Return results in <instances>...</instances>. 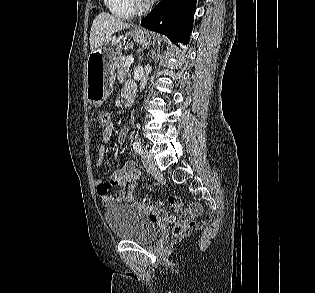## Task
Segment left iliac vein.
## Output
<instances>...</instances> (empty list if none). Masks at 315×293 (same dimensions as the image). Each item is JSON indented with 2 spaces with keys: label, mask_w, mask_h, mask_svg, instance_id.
Returning a JSON list of instances; mask_svg holds the SVG:
<instances>
[{
  "label": "left iliac vein",
  "mask_w": 315,
  "mask_h": 293,
  "mask_svg": "<svg viewBox=\"0 0 315 293\" xmlns=\"http://www.w3.org/2000/svg\"><path fill=\"white\" fill-rule=\"evenodd\" d=\"M141 158H142V163L148 172L155 173L157 171L156 163L154 162L152 156L147 150L143 152Z\"/></svg>",
  "instance_id": "left-iliac-vein-1"
}]
</instances>
